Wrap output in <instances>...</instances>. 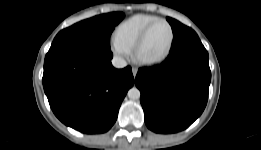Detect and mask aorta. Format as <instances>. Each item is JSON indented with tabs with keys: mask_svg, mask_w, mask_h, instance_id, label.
<instances>
[{
	"mask_svg": "<svg viewBox=\"0 0 261 150\" xmlns=\"http://www.w3.org/2000/svg\"><path fill=\"white\" fill-rule=\"evenodd\" d=\"M127 95L130 99L137 100L140 98L141 93L138 88L132 87L131 89H129Z\"/></svg>",
	"mask_w": 261,
	"mask_h": 150,
	"instance_id": "1",
	"label": "aorta"
}]
</instances>
